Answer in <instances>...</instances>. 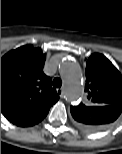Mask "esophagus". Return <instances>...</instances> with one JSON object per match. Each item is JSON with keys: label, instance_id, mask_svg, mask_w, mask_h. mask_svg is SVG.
Masks as SVG:
<instances>
[{"label": "esophagus", "instance_id": "esophagus-1", "mask_svg": "<svg viewBox=\"0 0 122 154\" xmlns=\"http://www.w3.org/2000/svg\"><path fill=\"white\" fill-rule=\"evenodd\" d=\"M57 94L60 96V98H64V91L62 88L57 89Z\"/></svg>", "mask_w": 122, "mask_h": 154}]
</instances>
